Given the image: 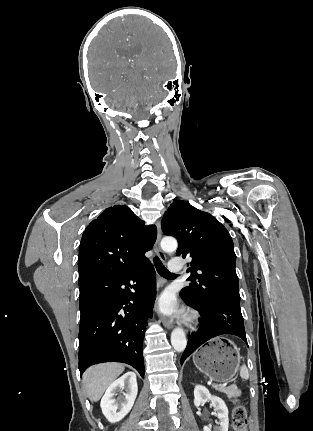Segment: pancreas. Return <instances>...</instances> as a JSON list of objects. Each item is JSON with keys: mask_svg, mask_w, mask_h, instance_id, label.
<instances>
[{"mask_svg": "<svg viewBox=\"0 0 313 431\" xmlns=\"http://www.w3.org/2000/svg\"><path fill=\"white\" fill-rule=\"evenodd\" d=\"M215 389L218 390L219 392L225 393L228 398L238 397L241 394V391L235 385H231L229 387H225L221 385V386H216Z\"/></svg>", "mask_w": 313, "mask_h": 431, "instance_id": "1", "label": "pancreas"}]
</instances>
